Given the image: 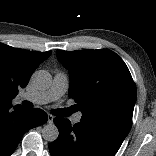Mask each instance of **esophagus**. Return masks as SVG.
I'll return each mask as SVG.
<instances>
[{
  "mask_svg": "<svg viewBox=\"0 0 156 156\" xmlns=\"http://www.w3.org/2000/svg\"><path fill=\"white\" fill-rule=\"evenodd\" d=\"M53 120H54V116L51 115V114H49V115H48V123H49V124L53 123Z\"/></svg>",
  "mask_w": 156,
  "mask_h": 156,
  "instance_id": "esophagus-1",
  "label": "esophagus"
}]
</instances>
